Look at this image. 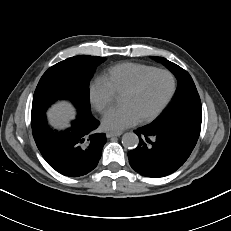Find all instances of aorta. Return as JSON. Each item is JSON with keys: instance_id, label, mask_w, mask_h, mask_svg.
I'll return each mask as SVG.
<instances>
[{"instance_id": "aorta-1", "label": "aorta", "mask_w": 231, "mask_h": 231, "mask_svg": "<svg viewBox=\"0 0 231 231\" xmlns=\"http://www.w3.org/2000/svg\"><path fill=\"white\" fill-rule=\"evenodd\" d=\"M139 138L133 132H127L122 136V144L127 149H134L138 146Z\"/></svg>"}]
</instances>
